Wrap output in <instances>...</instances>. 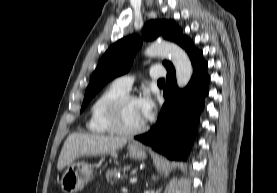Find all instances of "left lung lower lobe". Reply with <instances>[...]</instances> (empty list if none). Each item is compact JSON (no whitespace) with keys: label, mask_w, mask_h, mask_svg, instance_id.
I'll return each instance as SVG.
<instances>
[{"label":"left lung lower lobe","mask_w":277,"mask_h":193,"mask_svg":"<svg viewBox=\"0 0 277 193\" xmlns=\"http://www.w3.org/2000/svg\"><path fill=\"white\" fill-rule=\"evenodd\" d=\"M190 56L194 75L183 90L178 89L173 65L167 66V83L163 91L166 98L155 127L135 139L172 159H185L187 156L204 99L208 94L207 63L202 51L196 49L188 40L183 47Z\"/></svg>","instance_id":"1"}]
</instances>
